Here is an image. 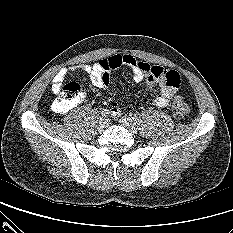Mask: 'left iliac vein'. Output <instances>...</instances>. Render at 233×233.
Returning a JSON list of instances; mask_svg holds the SVG:
<instances>
[{"mask_svg": "<svg viewBox=\"0 0 233 233\" xmlns=\"http://www.w3.org/2000/svg\"><path fill=\"white\" fill-rule=\"evenodd\" d=\"M119 122L126 127L132 134H136L137 133V126L136 123L128 118V117H121Z\"/></svg>", "mask_w": 233, "mask_h": 233, "instance_id": "left-iliac-vein-1", "label": "left iliac vein"}]
</instances>
